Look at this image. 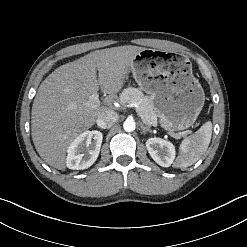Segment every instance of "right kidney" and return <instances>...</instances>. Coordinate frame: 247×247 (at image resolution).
<instances>
[{
  "mask_svg": "<svg viewBox=\"0 0 247 247\" xmlns=\"http://www.w3.org/2000/svg\"><path fill=\"white\" fill-rule=\"evenodd\" d=\"M103 134L99 131H85L76 137L67 149L66 165L69 169L83 170L96 161Z\"/></svg>",
  "mask_w": 247,
  "mask_h": 247,
  "instance_id": "obj_1",
  "label": "right kidney"
}]
</instances>
